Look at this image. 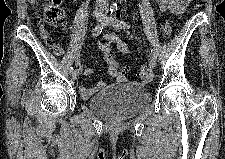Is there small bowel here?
Masks as SVG:
<instances>
[{
    "label": "small bowel",
    "instance_id": "c3829d8e",
    "mask_svg": "<svg viewBox=\"0 0 225 159\" xmlns=\"http://www.w3.org/2000/svg\"><path fill=\"white\" fill-rule=\"evenodd\" d=\"M187 5V0H158L159 8L164 12H173L176 14H181ZM40 34L45 41V43L52 49L57 55L63 53V49L60 44L56 43L50 34L46 31L43 25H40ZM111 44H115L117 49L122 54H129L130 49L129 45L121 40L119 37L112 33H108L101 39L98 43L99 48L102 50L104 47H111ZM80 71L83 75L87 76L91 73L89 68L80 66ZM108 73L112 77H115L118 80H123L124 75L122 73H113L110 67H108ZM104 83L102 81L97 82L93 87L80 86L79 91L83 98H90L96 91H98Z\"/></svg>",
    "mask_w": 225,
    "mask_h": 159
}]
</instances>
